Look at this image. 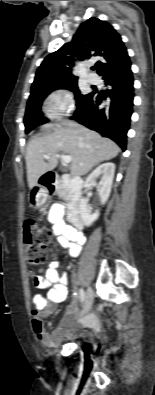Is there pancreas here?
I'll use <instances>...</instances> for the list:
<instances>
[{"label": "pancreas", "mask_w": 155, "mask_h": 395, "mask_svg": "<svg viewBox=\"0 0 155 395\" xmlns=\"http://www.w3.org/2000/svg\"><path fill=\"white\" fill-rule=\"evenodd\" d=\"M57 194H58V196H59L60 198H62V199H66V198H67V195H68L66 189L58 190V191H57Z\"/></svg>", "instance_id": "cf45deb5"}]
</instances>
